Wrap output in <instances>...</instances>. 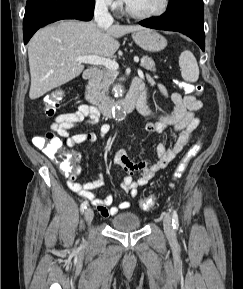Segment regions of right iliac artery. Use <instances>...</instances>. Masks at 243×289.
Wrapping results in <instances>:
<instances>
[{"label":"right iliac artery","mask_w":243,"mask_h":289,"mask_svg":"<svg viewBox=\"0 0 243 289\" xmlns=\"http://www.w3.org/2000/svg\"><path fill=\"white\" fill-rule=\"evenodd\" d=\"M87 206H88V201H84L80 207L81 212H84V210L87 208Z\"/></svg>","instance_id":"1"}]
</instances>
